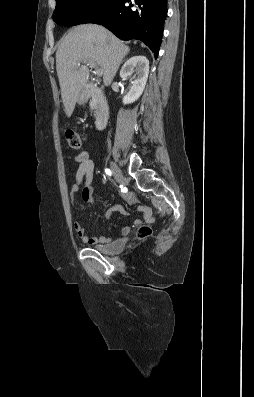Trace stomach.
Here are the masks:
<instances>
[{"label":"stomach","instance_id":"1","mask_svg":"<svg viewBox=\"0 0 254 397\" xmlns=\"http://www.w3.org/2000/svg\"><path fill=\"white\" fill-rule=\"evenodd\" d=\"M86 101V95L84 92H80L78 96V103L83 104Z\"/></svg>","mask_w":254,"mask_h":397}]
</instances>
